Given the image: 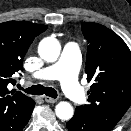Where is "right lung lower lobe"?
I'll list each match as a JSON object with an SVG mask.
<instances>
[{
  "label": "right lung lower lobe",
  "mask_w": 131,
  "mask_h": 131,
  "mask_svg": "<svg viewBox=\"0 0 131 131\" xmlns=\"http://www.w3.org/2000/svg\"><path fill=\"white\" fill-rule=\"evenodd\" d=\"M29 118H30V117H29ZM29 118L27 119V121L25 122V124L22 126V128L20 129V131H22V130H23V128H24V127H25V125L27 124V122H28Z\"/></svg>",
  "instance_id": "right-lung-lower-lobe-1"
}]
</instances>
